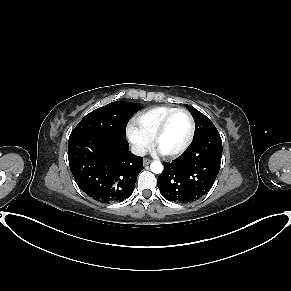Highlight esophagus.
I'll return each instance as SVG.
<instances>
[{"label": "esophagus", "instance_id": "34e87169", "mask_svg": "<svg viewBox=\"0 0 291 291\" xmlns=\"http://www.w3.org/2000/svg\"><path fill=\"white\" fill-rule=\"evenodd\" d=\"M143 163H144V165H148L151 163V159L144 158Z\"/></svg>", "mask_w": 291, "mask_h": 291}]
</instances>
